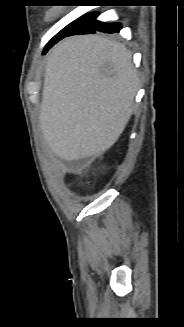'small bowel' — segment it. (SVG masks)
<instances>
[{"label":"small bowel","mask_w":184,"mask_h":327,"mask_svg":"<svg viewBox=\"0 0 184 327\" xmlns=\"http://www.w3.org/2000/svg\"><path fill=\"white\" fill-rule=\"evenodd\" d=\"M73 170V166L58 167L57 174L59 177H64L66 174L70 173Z\"/></svg>","instance_id":"c3829d8e"}]
</instances>
